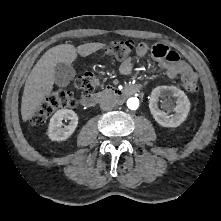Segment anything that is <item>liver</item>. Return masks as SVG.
I'll use <instances>...</instances> for the list:
<instances>
[{
	"label": "liver",
	"instance_id": "6515ba94",
	"mask_svg": "<svg viewBox=\"0 0 221 221\" xmlns=\"http://www.w3.org/2000/svg\"><path fill=\"white\" fill-rule=\"evenodd\" d=\"M104 43H86L77 48L71 44H60L50 48L31 70L24 87L21 103L22 120L26 122L42 105L53 90L55 66L57 63L71 64L77 55L88 56L102 48Z\"/></svg>",
	"mask_w": 221,
	"mask_h": 221
}]
</instances>
